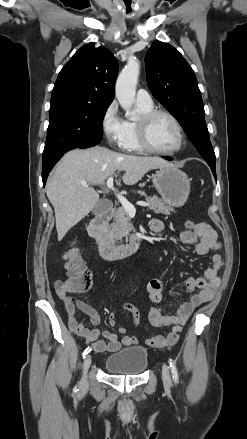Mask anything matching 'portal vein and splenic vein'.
<instances>
[{
  "mask_svg": "<svg viewBox=\"0 0 247 439\" xmlns=\"http://www.w3.org/2000/svg\"><path fill=\"white\" fill-rule=\"evenodd\" d=\"M82 185L84 187H87L86 183H82ZM107 187L109 189L113 190L116 193L117 198H118L119 202L121 203V205L123 206L124 210L129 215L134 216L135 213H136V209H135L134 205H132L124 196L117 194V191H116V189L114 188V185H113V177H109L107 179ZM137 204L140 205V206H143V207L149 206V203L143 202V201H139V202H137Z\"/></svg>",
  "mask_w": 247,
  "mask_h": 439,
  "instance_id": "obj_1",
  "label": "portal vein and splenic vein"
}]
</instances>
